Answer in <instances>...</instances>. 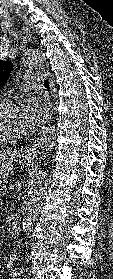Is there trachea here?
I'll use <instances>...</instances> for the list:
<instances>
[{"label": "trachea", "instance_id": "trachea-1", "mask_svg": "<svg viewBox=\"0 0 113 279\" xmlns=\"http://www.w3.org/2000/svg\"><path fill=\"white\" fill-rule=\"evenodd\" d=\"M44 86H45L46 88H49V83H48L47 80L44 81Z\"/></svg>", "mask_w": 113, "mask_h": 279}]
</instances>
